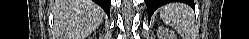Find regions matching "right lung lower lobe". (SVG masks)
Wrapping results in <instances>:
<instances>
[{
    "label": "right lung lower lobe",
    "instance_id": "98d812e1",
    "mask_svg": "<svg viewBox=\"0 0 249 39\" xmlns=\"http://www.w3.org/2000/svg\"><path fill=\"white\" fill-rule=\"evenodd\" d=\"M95 2L100 5L107 15H110V0H95Z\"/></svg>",
    "mask_w": 249,
    "mask_h": 39
}]
</instances>
